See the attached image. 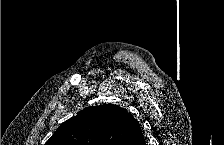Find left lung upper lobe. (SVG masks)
<instances>
[{
  "label": "left lung upper lobe",
  "instance_id": "left-lung-upper-lobe-1",
  "mask_svg": "<svg viewBox=\"0 0 224 145\" xmlns=\"http://www.w3.org/2000/svg\"><path fill=\"white\" fill-rule=\"evenodd\" d=\"M138 121L116 105L87 107L65 121L46 145H138Z\"/></svg>",
  "mask_w": 224,
  "mask_h": 145
}]
</instances>
